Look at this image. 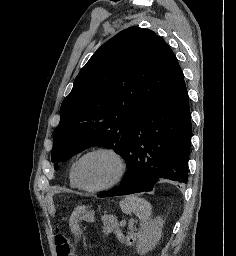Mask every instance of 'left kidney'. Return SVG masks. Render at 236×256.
Instances as JSON below:
<instances>
[{
  "mask_svg": "<svg viewBox=\"0 0 236 256\" xmlns=\"http://www.w3.org/2000/svg\"><path fill=\"white\" fill-rule=\"evenodd\" d=\"M162 228V218H156V220H153V222H147V224L142 226L141 232H138L137 234L138 242L136 248L140 256L154 250L156 244H158L161 238Z\"/></svg>",
  "mask_w": 236,
  "mask_h": 256,
  "instance_id": "obj_1",
  "label": "left kidney"
}]
</instances>
